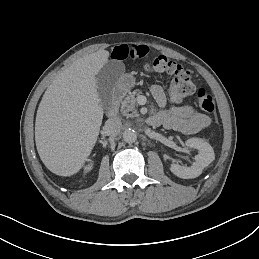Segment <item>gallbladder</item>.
<instances>
[{"label": "gallbladder", "instance_id": "obj_1", "mask_svg": "<svg viewBox=\"0 0 259 259\" xmlns=\"http://www.w3.org/2000/svg\"><path fill=\"white\" fill-rule=\"evenodd\" d=\"M124 73V64L121 61L110 60L96 75L97 92L101 100L103 111H108L112 107L113 90L118 79Z\"/></svg>", "mask_w": 259, "mask_h": 259}]
</instances>
